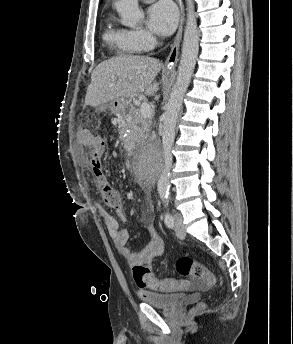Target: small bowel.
I'll return each instance as SVG.
<instances>
[{
    "instance_id": "c3829d8e",
    "label": "small bowel",
    "mask_w": 293,
    "mask_h": 344,
    "mask_svg": "<svg viewBox=\"0 0 293 344\" xmlns=\"http://www.w3.org/2000/svg\"><path fill=\"white\" fill-rule=\"evenodd\" d=\"M100 140H102L100 137L92 134L87 129L80 128L76 132V144L80 150L94 147ZM93 170L95 174L98 175L102 172V166ZM99 212L103 218L114 247L129 266L150 263L155 258L163 254L165 249L164 241L152 223L147 225V231L150 237L149 243L142 250L132 252L126 246L130 238V233L128 230L121 227V223L125 220L122 206L120 205L116 208L115 215L109 213L102 207H100Z\"/></svg>"
}]
</instances>
